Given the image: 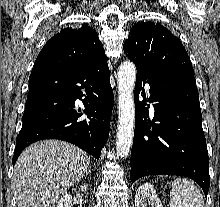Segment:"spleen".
Segmentation results:
<instances>
[{"instance_id": "1", "label": "spleen", "mask_w": 220, "mask_h": 207, "mask_svg": "<svg viewBox=\"0 0 220 207\" xmlns=\"http://www.w3.org/2000/svg\"><path fill=\"white\" fill-rule=\"evenodd\" d=\"M170 207H204L201 191L184 178L173 181Z\"/></svg>"}]
</instances>
